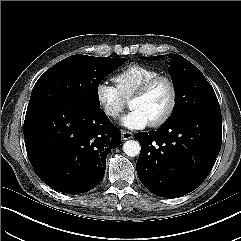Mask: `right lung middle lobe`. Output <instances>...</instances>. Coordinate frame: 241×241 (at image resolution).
<instances>
[{
  "label": "right lung middle lobe",
  "instance_id": "obj_1",
  "mask_svg": "<svg viewBox=\"0 0 241 241\" xmlns=\"http://www.w3.org/2000/svg\"><path fill=\"white\" fill-rule=\"evenodd\" d=\"M125 58L72 55L47 70L33 87L30 102L50 97L71 100L81 107H100L98 86Z\"/></svg>",
  "mask_w": 241,
  "mask_h": 241
}]
</instances>
